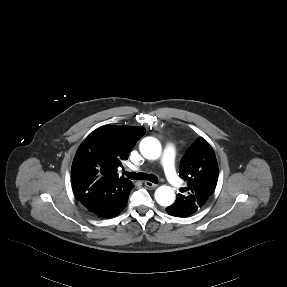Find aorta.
Segmentation results:
<instances>
[{
  "instance_id": "aorta-1",
  "label": "aorta",
  "mask_w": 287,
  "mask_h": 287,
  "mask_svg": "<svg viewBox=\"0 0 287 287\" xmlns=\"http://www.w3.org/2000/svg\"><path fill=\"white\" fill-rule=\"evenodd\" d=\"M161 150V144L156 138L146 137L140 143V152L146 159L159 158ZM155 199L161 206H170L175 201L174 190L169 186H160L155 191Z\"/></svg>"
}]
</instances>
